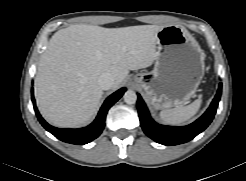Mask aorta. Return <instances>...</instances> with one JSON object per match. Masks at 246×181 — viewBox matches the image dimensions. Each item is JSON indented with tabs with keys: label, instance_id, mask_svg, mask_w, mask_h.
<instances>
[{
	"label": "aorta",
	"instance_id": "obj_1",
	"mask_svg": "<svg viewBox=\"0 0 246 181\" xmlns=\"http://www.w3.org/2000/svg\"><path fill=\"white\" fill-rule=\"evenodd\" d=\"M124 102L131 105L135 104L137 101V94L133 90H128L124 93Z\"/></svg>",
	"mask_w": 246,
	"mask_h": 181
}]
</instances>
